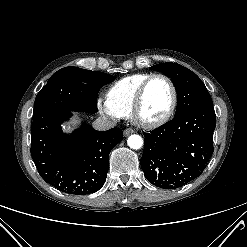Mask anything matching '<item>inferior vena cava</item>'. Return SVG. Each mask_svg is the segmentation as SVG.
I'll list each match as a JSON object with an SVG mask.
<instances>
[{"label":"inferior vena cava","instance_id":"602c4592","mask_svg":"<svg viewBox=\"0 0 247 247\" xmlns=\"http://www.w3.org/2000/svg\"><path fill=\"white\" fill-rule=\"evenodd\" d=\"M115 123L107 117H98L94 122H93V128L95 130H108L110 128H113Z\"/></svg>","mask_w":247,"mask_h":247}]
</instances>
